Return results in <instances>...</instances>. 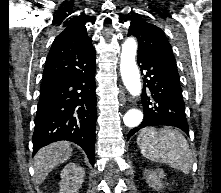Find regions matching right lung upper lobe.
<instances>
[{
    "label": "right lung upper lobe",
    "instance_id": "obj_1",
    "mask_svg": "<svg viewBox=\"0 0 221 193\" xmlns=\"http://www.w3.org/2000/svg\"><path fill=\"white\" fill-rule=\"evenodd\" d=\"M64 25L66 28L55 38L47 55L42 83L78 73L95 63V49L84 20L75 17Z\"/></svg>",
    "mask_w": 221,
    "mask_h": 193
}]
</instances>
